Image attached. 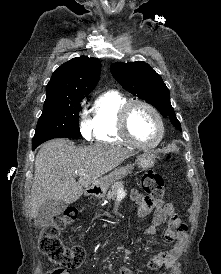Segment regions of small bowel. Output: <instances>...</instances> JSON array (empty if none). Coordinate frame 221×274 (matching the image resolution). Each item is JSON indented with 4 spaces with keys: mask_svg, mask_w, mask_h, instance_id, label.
Returning <instances> with one entry per match:
<instances>
[{
    "mask_svg": "<svg viewBox=\"0 0 221 274\" xmlns=\"http://www.w3.org/2000/svg\"><path fill=\"white\" fill-rule=\"evenodd\" d=\"M131 198L139 205L137 211L138 217L143 218L153 212L151 225L144 230V234H155L157 227L167 222L168 228L164 232V238L166 241L173 243V246L169 250L159 252L152 257L148 262V267L151 270L171 268L182 253L186 237V225L176 214L173 205L170 203H164L162 200L149 199L136 190L132 191ZM117 274L135 273L129 268L119 267ZM162 274L167 273L163 272Z\"/></svg>",
    "mask_w": 221,
    "mask_h": 274,
    "instance_id": "small-bowel-1",
    "label": "small bowel"
}]
</instances>
